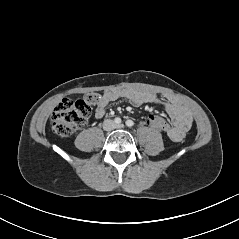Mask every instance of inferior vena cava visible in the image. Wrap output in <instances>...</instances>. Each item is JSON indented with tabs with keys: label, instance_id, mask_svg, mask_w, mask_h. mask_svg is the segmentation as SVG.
Here are the masks:
<instances>
[{
	"label": "inferior vena cava",
	"instance_id": "obj_1",
	"mask_svg": "<svg viewBox=\"0 0 239 239\" xmlns=\"http://www.w3.org/2000/svg\"><path fill=\"white\" fill-rule=\"evenodd\" d=\"M116 128V124L114 123L113 120L106 119L103 122V129L106 131H111Z\"/></svg>",
	"mask_w": 239,
	"mask_h": 239
}]
</instances>
